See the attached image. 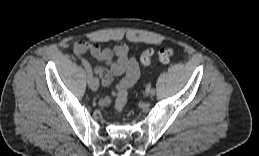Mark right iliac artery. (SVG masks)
Wrapping results in <instances>:
<instances>
[{"label":"right iliac artery","instance_id":"right-iliac-artery-1","mask_svg":"<svg viewBox=\"0 0 259 156\" xmlns=\"http://www.w3.org/2000/svg\"><path fill=\"white\" fill-rule=\"evenodd\" d=\"M81 62L83 64V66L85 67L86 71H87V74H88V84H90L91 81L93 80V74H92L91 66L88 63V61L85 60V59H82Z\"/></svg>","mask_w":259,"mask_h":156}]
</instances>
